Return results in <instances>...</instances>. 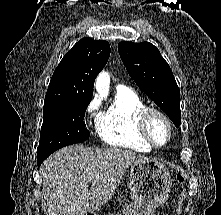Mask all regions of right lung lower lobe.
Wrapping results in <instances>:
<instances>
[{"mask_svg": "<svg viewBox=\"0 0 221 215\" xmlns=\"http://www.w3.org/2000/svg\"><path fill=\"white\" fill-rule=\"evenodd\" d=\"M46 158H47V157L37 158L38 167L41 165V163H42Z\"/></svg>", "mask_w": 221, "mask_h": 215, "instance_id": "obj_1", "label": "right lung lower lobe"}]
</instances>
